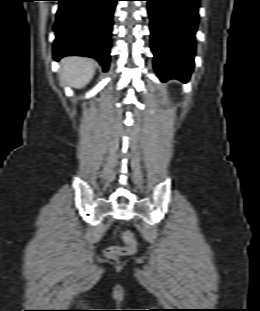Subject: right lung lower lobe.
I'll return each instance as SVG.
<instances>
[{"instance_id":"right-lung-lower-lobe-1","label":"right lung lower lobe","mask_w":260,"mask_h":311,"mask_svg":"<svg viewBox=\"0 0 260 311\" xmlns=\"http://www.w3.org/2000/svg\"><path fill=\"white\" fill-rule=\"evenodd\" d=\"M54 57L79 55L110 62L112 18L117 0H57Z\"/></svg>"}]
</instances>
